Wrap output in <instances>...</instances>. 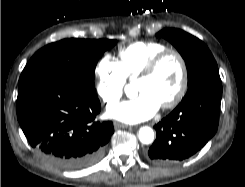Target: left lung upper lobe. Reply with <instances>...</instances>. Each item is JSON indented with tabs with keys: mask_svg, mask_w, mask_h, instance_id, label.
Masks as SVG:
<instances>
[{
	"mask_svg": "<svg viewBox=\"0 0 245 187\" xmlns=\"http://www.w3.org/2000/svg\"><path fill=\"white\" fill-rule=\"evenodd\" d=\"M157 35L169 40L185 60L188 73L185 96L205 85L220 82L217 63L201 40L175 28L163 29Z\"/></svg>",
	"mask_w": 245,
	"mask_h": 187,
	"instance_id": "5c2ea615",
	"label": "left lung upper lobe"
}]
</instances>
